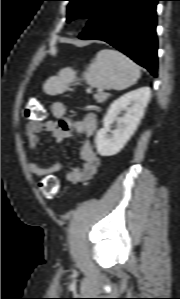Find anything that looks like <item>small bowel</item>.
Here are the masks:
<instances>
[{
    "label": "small bowel",
    "mask_w": 180,
    "mask_h": 299,
    "mask_svg": "<svg viewBox=\"0 0 180 299\" xmlns=\"http://www.w3.org/2000/svg\"><path fill=\"white\" fill-rule=\"evenodd\" d=\"M53 119L32 120L26 124V135L29 148L35 150L40 142L43 133H49L53 139L61 143L71 138L75 133L85 137L80 150V164L69 169L64 175V180L68 183L76 184L88 181L97 172L100 166V159L96 155L91 142L92 136L97 130V120L95 115L88 114L83 119H71L66 115V106L61 101H54L51 105ZM30 171L37 177L56 175L62 169L60 163L50 166H43L38 162L29 164Z\"/></svg>",
    "instance_id": "c3829d8e"
}]
</instances>
